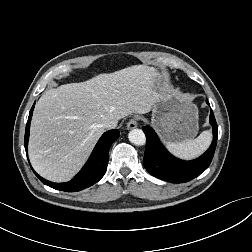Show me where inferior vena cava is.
Returning a JSON list of instances; mask_svg holds the SVG:
<instances>
[{
    "label": "inferior vena cava",
    "instance_id": "obj_1",
    "mask_svg": "<svg viewBox=\"0 0 252 252\" xmlns=\"http://www.w3.org/2000/svg\"><path fill=\"white\" fill-rule=\"evenodd\" d=\"M102 126L106 129H113L117 126V122L115 121H111V120H108V121H105Z\"/></svg>",
    "mask_w": 252,
    "mask_h": 252
}]
</instances>
